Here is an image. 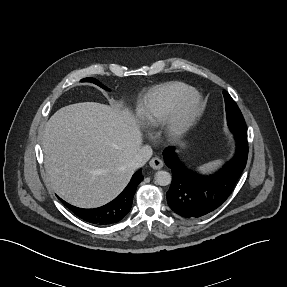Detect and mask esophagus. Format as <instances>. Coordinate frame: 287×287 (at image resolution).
<instances>
[{
	"mask_svg": "<svg viewBox=\"0 0 287 287\" xmlns=\"http://www.w3.org/2000/svg\"><path fill=\"white\" fill-rule=\"evenodd\" d=\"M150 167L159 170L163 167V161L159 157H153L149 162Z\"/></svg>",
	"mask_w": 287,
	"mask_h": 287,
	"instance_id": "1",
	"label": "esophagus"
}]
</instances>
